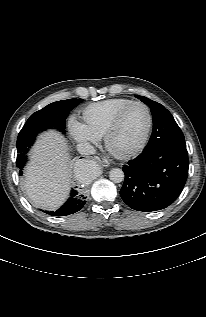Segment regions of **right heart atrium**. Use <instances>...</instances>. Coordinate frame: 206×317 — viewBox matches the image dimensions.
I'll return each instance as SVG.
<instances>
[{"instance_id":"right-heart-atrium-1","label":"right heart atrium","mask_w":206,"mask_h":317,"mask_svg":"<svg viewBox=\"0 0 206 317\" xmlns=\"http://www.w3.org/2000/svg\"><path fill=\"white\" fill-rule=\"evenodd\" d=\"M69 131L72 138L77 142H95L97 140L79 122L72 121L69 125Z\"/></svg>"}]
</instances>
